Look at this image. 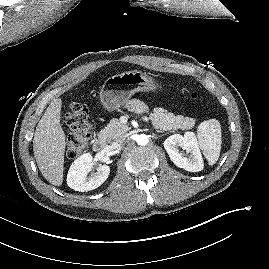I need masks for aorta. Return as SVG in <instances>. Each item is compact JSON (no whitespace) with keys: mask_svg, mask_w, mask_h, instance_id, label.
<instances>
[{"mask_svg":"<svg viewBox=\"0 0 269 269\" xmlns=\"http://www.w3.org/2000/svg\"><path fill=\"white\" fill-rule=\"evenodd\" d=\"M136 142H137L138 145L144 146V145L148 144L149 138L145 134H140V135L137 136Z\"/></svg>","mask_w":269,"mask_h":269,"instance_id":"762f6f07","label":"aorta"}]
</instances>
